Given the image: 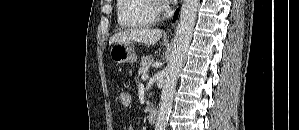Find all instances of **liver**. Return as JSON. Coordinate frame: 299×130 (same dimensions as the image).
<instances>
[{
    "label": "liver",
    "instance_id": "1",
    "mask_svg": "<svg viewBox=\"0 0 299 130\" xmlns=\"http://www.w3.org/2000/svg\"><path fill=\"white\" fill-rule=\"evenodd\" d=\"M163 31L152 28H134L127 29L113 35L110 38V44L115 43H131L137 42L145 45L153 46L162 37Z\"/></svg>",
    "mask_w": 299,
    "mask_h": 130
}]
</instances>
